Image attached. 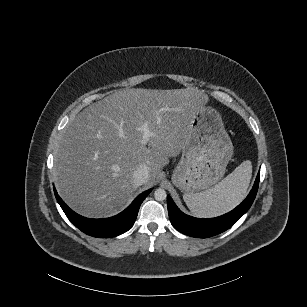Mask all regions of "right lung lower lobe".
Returning <instances> with one entry per match:
<instances>
[{
  "instance_id": "98d812e1",
  "label": "right lung lower lobe",
  "mask_w": 307,
  "mask_h": 307,
  "mask_svg": "<svg viewBox=\"0 0 307 307\" xmlns=\"http://www.w3.org/2000/svg\"><path fill=\"white\" fill-rule=\"evenodd\" d=\"M150 192L151 189L137 196L127 209L116 216L104 219H89L72 211L62 201L54 188L56 199L68 219L82 232L99 238L115 237L129 230L136 220L141 203Z\"/></svg>"
}]
</instances>
